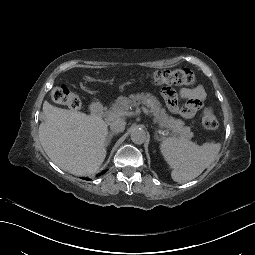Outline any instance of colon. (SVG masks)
<instances>
[{
	"mask_svg": "<svg viewBox=\"0 0 255 255\" xmlns=\"http://www.w3.org/2000/svg\"><path fill=\"white\" fill-rule=\"evenodd\" d=\"M153 80L158 85H194L197 82L195 74L188 68L157 71ZM51 96L54 102L72 110L81 107L80 98L65 85L53 88ZM202 124L207 130H216L219 127L218 119L210 107L203 110Z\"/></svg>",
	"mask_w": 255,
	"mask_h": 255,
	"instance_id": "colon-1",
	"label": "colon"
}]
</instances>
